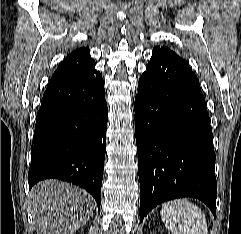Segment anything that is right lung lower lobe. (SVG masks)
Returning <instances> with one entry per match:
<instances>
[{
  "label": "right lung lower lobe",
  "mask_w": 241,
  "mask_h": 234,
  "mask_svg": "<svg viewBox=\"0 0 241 234\" xmlns=\"http://www.w3.org/2000/svg\"><path fill=\"white\" fill-rule=\"evenodd\" d=\"M94 66L48 84L36 117L28 181L29 188L48 178L79 185L100 208L108 108Z\"/></svg>",
  "instance_id": "right-lung-lower-lobe-1"
}]
</instances>
